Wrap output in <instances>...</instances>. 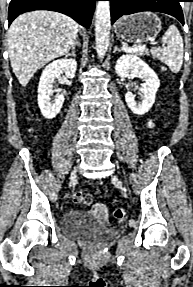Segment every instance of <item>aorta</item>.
<instances>
[{"label":"aorta","mask_w":193,"mask_h":287,"mask_svg":"<svg viewBox=\"0 0 193 287\" xmlns=\"http://www.w3.org/2000/svg\"><path fill=\"white\" fill-rule=\"evenodd\" d=\"M110 27V2L98 1L95 12V44L100 58L106 55L109 47Z\"/></svg>","instance_id":"1"}]
</instances>
